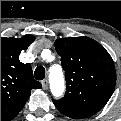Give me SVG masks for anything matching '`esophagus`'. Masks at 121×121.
<instances>
[{
    "label": "esophagus",
    "mask_w": 121,
    "mask_h": 121,
    "mask_svg": "<svg viewBox=\"0 0 121 121\" xmlns=\"http://www.w3.org/2000/svg\"><path fill=\"white\" fill-rule=\"evenodd\" d=\"M42 88H43L44 90H46V89L48 88V80H47V79H44V80L42 81Z\"/></svg>",
    "instance_id": "34e87169"
}]
</instances>
